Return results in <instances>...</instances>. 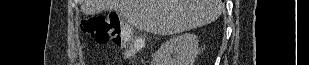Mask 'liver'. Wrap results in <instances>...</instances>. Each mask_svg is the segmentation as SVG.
Instances as JSON below:
<instances>
[{
    "mask_svg": "<svg viewBox=\"0 0 309 65\" xmlns=\"http://www.w3.org/2000/svg\"><path fill=\"white\" fill-rule=\"evenodd\" d=\"M221 0H84L86 15L119 12L130 25L149 33L171 35L208 25L219 18Z\"/></svg>",
    "mask_w": 309,
    "mask_h": 65,
    "instance_id": "1",
    "label": "liver"
}]
</instances>
